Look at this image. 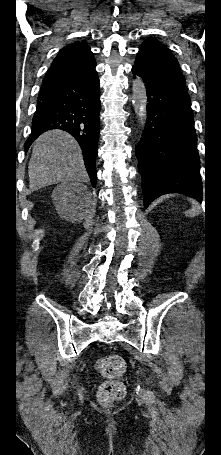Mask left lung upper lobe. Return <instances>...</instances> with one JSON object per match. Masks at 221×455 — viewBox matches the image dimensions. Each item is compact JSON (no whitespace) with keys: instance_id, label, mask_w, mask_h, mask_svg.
Wrapping results in <instances>:
<instances>
[{"instance_id":"5c2ea615","label":"left lung upper lobe","mask_w":221,"mask_h":455,"mask_svg":"<svg viewBox=\"0 0 221 455\" xmlns=\"http://www.w3.org/2000/svg\"><path fill=\"white\" fill-rule=\"evenodd\" d=\"M135 66L140 70L160 74L186 89L177 59L155 39H147L142 43Z\"/></svg>"}]
</instances>
